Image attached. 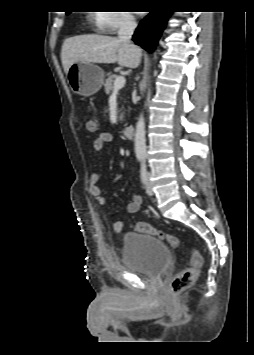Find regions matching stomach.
Returning a JSON list of instances; mask_svg holds the SVG:
<instances>
[{
  "instance_id": "stomach-1",
  "label": "stomach",
  "mask_w": 254,
  "mask_h": 355,
  "mask_svg": "<svg viewBox=\"0 0 254 355\" xmlns=\"http://www.w3.org/2000/svg\"><path fill=\"white\" fill-rule=\"evenodd\" d=\"M67 79L74 93L88 97L102 87L104 71L94 63L76 62L70 66Z\"/></svg>"
}]
</instances>
